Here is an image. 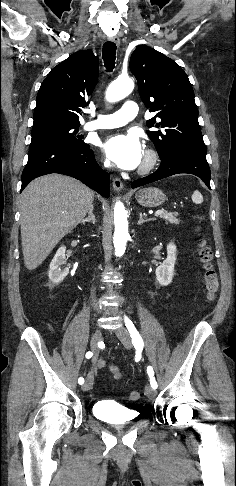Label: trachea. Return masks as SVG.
Here are the masks:
<instances>
[{
  "label": "trachea",
  "instance_id": "3493384b",
  "mask_svg": "<svg viewBox=\"0 0 236 486\" xmlns=\"http://www.w3.org/2000/svg\"><path fill=\"white\" fill-rule=\"evenodd\" d=\"M116 44L111 41H107L103 45L102 56L104 60L105 67L108 72H111L115 66L116 59Z\"/></svg>",
  "mask_w": 236,
  "mask_h": 486
}]
</instances>
